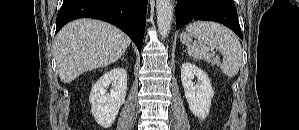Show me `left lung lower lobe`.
Here are the masks:
<instances>
[{"instance_id":"0a47b994","label":"left lung lower lobe","mask_w":299,"mask_h":130,"mask_svg":"<svg viewBox=\"0 0 299 130\" xmlns=\"http://www.w3.org/2000/svg\"><path fill=\"white\" fill-rule=\"evenodd\" d=\"M175 12L177 29L193 19L210 20L224 24L243 39L233 0H178Z\"/></svg>"}]
</instances>
